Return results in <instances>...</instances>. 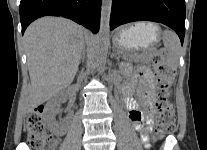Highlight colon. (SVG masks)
<instances>
[{
  "mask_svg": "<svg viewBox=\"0 0 207 150\" xmlns=\"http://www.w3.org/2000/svg\"><path fill=\"white\" fill-rule=\"evenodd\" d=\"M153 64L157 73L155 137L160 139L172 133L176 127L175 115L168 99V88L174 77L175 69L161 53L153 57ZM25 131L28 142L36 150H46L54 145V139L43 122L40 108L29 114Z\"/></svg>",
  "mask_w": 207,
  "mask_h": 150,
  "instance_id": "5ec220e1",
  "label": "colon"
}]
</instances>
